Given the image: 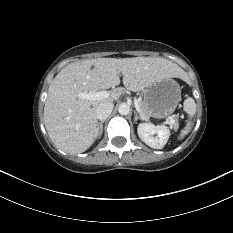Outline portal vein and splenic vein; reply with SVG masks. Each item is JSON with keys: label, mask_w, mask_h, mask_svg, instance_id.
I'll return each mask as SVG.
<instances>
[{"label": "portal vein and splenic vein", "mask_w": 233, "mask_h": 233, "mask_svg": "<svg viewBox=\"0 0 233 233\" xmlns=\"http://www.w3.org/2000/svg\"><path fill=\"white\" fill-rule=\"evenodd\" d=\"M109 96H110V93L108 91H105V90L99 91V92L77 94L78 98L92 100V101L105 99V98H108ZM134 104H135L136 111L139 114H142V111H141L140 106H139V102L136 98L134 99ZM168 120H169V123L172 125L175 123V120L173 119L172 116L168 117Z\"/></svg>", "instance_id": "1"}]
</instances>
